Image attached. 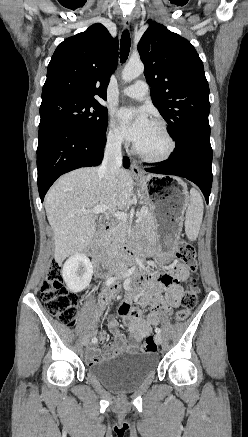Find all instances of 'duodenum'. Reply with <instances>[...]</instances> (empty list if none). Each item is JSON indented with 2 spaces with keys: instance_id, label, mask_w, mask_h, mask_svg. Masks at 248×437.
I'll return each instance as SVG.
<instances>
[{
  "instance_id": "obj_1",
  "label": "duodenum",
  "mask_w": 248,
  "mask_h": 437,
  "mask_svg": "<svg viewBox=\"0 0 248 437\" xmlns=\"http://www.w3.org/2000/svg\"><path fill=\"white\" fill-rule=\"evenodd\" d=\"M111 226L105 225L101 232L95 238L90 254L97 264V275L103 276L116 270L126 267L136 255V248L133 245H127L124 248L123 255L119 259L110 258L103 249V243L106 235L109 233ZM153 252V250H151Z\"/></svg>"
}]
</instances>
